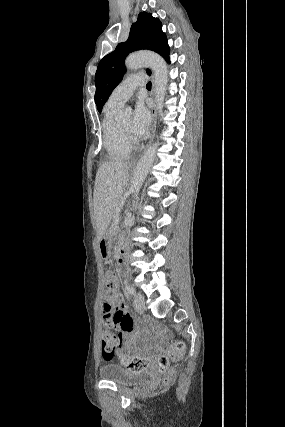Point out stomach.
Masks as SVG:
<instances>
[{
  "label": "stomach",
  "mask_w": 285,
  "mask_h": 427,
  "mask_svg": "<svg viewBox=\"0 0 285 427\" xmlns=\"http://www.w3.org/2000/svg\"><path fill=\"white\" fill-rule=\"evenodd\" d=\"M98 247L101 256L104 258H108L112 248L111 235L109 233H106L101 237L98 243Z\"/></svg>",
  "instance_id": "1"
}]
</instances>
